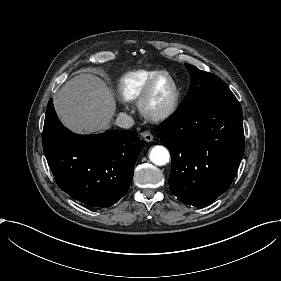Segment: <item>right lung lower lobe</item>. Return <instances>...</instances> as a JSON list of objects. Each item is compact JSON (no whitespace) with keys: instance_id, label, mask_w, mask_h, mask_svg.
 I'll return each mask as SVG.
<instances>
[{"instance_id":"98d812e1","label":"right lung lower lobe","mask_w":281,"mask_h":281,"mask_svg":"<svg viewBox=\"0 0 281 281\" xmlns=\"http://www.w3.org/2000/svg\"><path fill=\"white\" fill-rule=\"evenodd\" d=\"M43 149L61 190L91 207H110L127 192L140 140L128 130L77 135L59 121L48 102Z\"/></svg>"}]
</instances>
